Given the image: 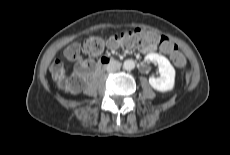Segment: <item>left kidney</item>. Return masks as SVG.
I'll list each match as a JSON object with an SVG mask.
<instances>
[{"instance_id":"5707ae66","label":"left kidney","mask_w":230,"mask_h":155,"mask_svg":"<svg viewBox=\"0 0 230 155\" xmlns=\"http://www.w3.org/2000/svg\"><path fill=\"white\" fill-rule=\"evenodd\" d=\"M145 61L155 62L159 67V78L150 77L149 84L159 92H168L175 85V69L169 60L157 53H149L145 57Z\"/></svg>"}]
</instances>
